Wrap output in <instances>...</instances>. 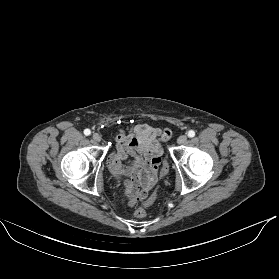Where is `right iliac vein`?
<instances>
[{
  "mask_svg": "<svg viewBox=\"0 0 279 279\" xmlns=\"http://www.w3.org/2000/svg\"><path fill=\"white\" fill-rule=\"evenodd\" d=\"M92 138H93V140L96 141V142H100V141H101V136H100L98 133H94V134L92 135Z\"/></svg>",
  "mask_w": 279,
  "mask_h": 279,
  "instance_id": "right-iliac-vein-1",
  "label": "right iliac vein"
}]
</instances>
